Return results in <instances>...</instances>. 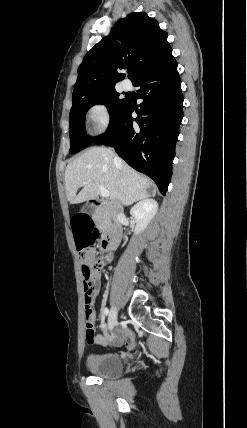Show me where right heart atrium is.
Masks as SVG:
<instances>
[{
	"label": "right heart atrium",
	"mask_w": 247,
	"mask_h": 428,
	"mask_svg": "<svg viewBox=\"0 0 247 428\" xmlns=\"http://www.w3.org/2000/svg\"><path fill=\"white\" fill-rule=\"evenodd\" d=\"M87 115L93 132H103L110 125V110L104 102L92 104L88 109Z\"/></svg>",
	"instance_id": "right-heart-atrium-1"
}]
</instances>
